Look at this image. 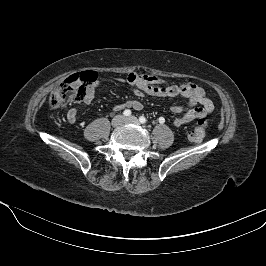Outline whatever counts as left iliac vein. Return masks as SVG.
<instances>
[{
	"label": "left iliac vein",
	"mask_w": 266,
	"mask_h": 266,
	"mask_svg": "<svg viewBox=\"0 0 266 266\" xmlns=\"http://www.w3.org/2000/svg\"><path fill=\"white\" fill-rule=\"evenodd\" d=\"M126 122L134 123V124H139V120L135 116H130L125 119Z\"/></svg>",
	"instance_id": "4c4485c4"
}]
</instances>
